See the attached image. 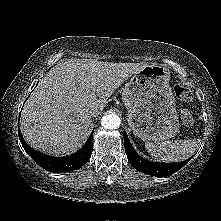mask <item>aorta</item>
<instances>
[{
  "mask_svg": "<svg viewBox=\"0 0 221 221\" xmlns=\"http://www.w3.org/2000/svg\"><path fill=\"white\" fill-rule=\"evenodd\" d=\"M120 122V118L115 114H106L101 119V125L105 129H117Z\"/></svg>",
  "mask_w": 221,
  "mask_h": 221,
  "instance_id": "aorta-1",
  "label": "aorta"
}]
</instances>
